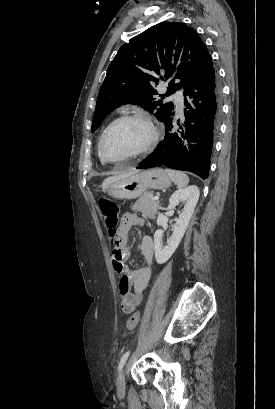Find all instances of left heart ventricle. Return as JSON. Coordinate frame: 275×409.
<instances>
[{
    "mask_svg": "<svg viewBox=\"0 0 275 409\" xmlns=\"http://www.w3.org/2000/svg\"><path fill=\"white\" fill-rule=\"evenodd\" d=\"M145 127L133 121L118 123L107 136L103 153L105 157H122L136 149L145 139Z\"/></svg>",
    "mask_w": 275,
    "mask_h": 409,
    "instance_id": "left-heart-ventricle-1",
    "label": "left heart ventricle"
}]
</instances>
